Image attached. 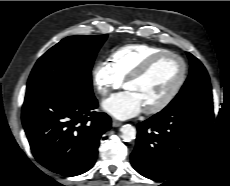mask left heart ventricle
Returning a JSON list of instances; mask_svg holds the SVG:
<instances>
[{
    "instance_id": "1",
    "label": "left heart ventricle",
    "mask_w": 230,
    "mask_h": 186,
    "mask_svg": "<svg viewBox=\"0 0 230 186\" xmlns=\"http://www.w3.org/2000/svg\"><path fill=\"white\" fill-rule=\"evenodd\" d=\"M181 69V63L176 58H164L146 76L126 84L125 88L137 95L143 109L151 107L171 91L180 78Z\"/></svg>"
}]
</instances>
